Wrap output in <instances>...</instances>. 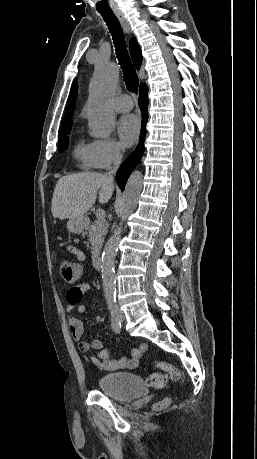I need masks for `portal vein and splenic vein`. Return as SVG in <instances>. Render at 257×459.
<instances>
[{
    "mask_svg": "<svg viewBox=\"0 0 257 459\" xmlns=\"http://www.w3.org/2000/svg\"><path fill=\"white\" fill-rule=\"evenodd\" d=\"M105 215H106L105 211L102 210V209H99V210L96 211V217H97L98 220H104Z\"/></svg>",
    "mask_w": 257,
    "mask_h": 459,
    "instance_id": "portal-vein-and-splenic-vein-1",
    "label": "portal vein and splenic vein"
}]
</instances>
